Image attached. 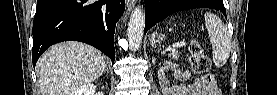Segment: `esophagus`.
I'll use <instances>...</instances> for the list:
<instances>
[{"label": "esophagus", "mask_w": 277, "mask_h": 95, "mask_svg": "<svg viewBox=\"0 0 277 95\" xmlns=\"http://www.w3.org/2000/svg\"><path fill=\"white\" fill-rule=\"evenodd\" d=\"M136 4V0H126V7L128 10H132Z\"/></svg>", "instance_id": "1"}]
</instances>
